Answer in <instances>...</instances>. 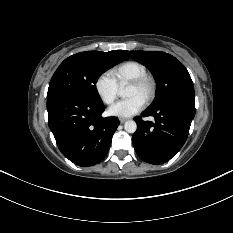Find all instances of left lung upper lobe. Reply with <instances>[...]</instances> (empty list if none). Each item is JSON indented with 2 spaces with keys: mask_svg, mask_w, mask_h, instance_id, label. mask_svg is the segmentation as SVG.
<instances>
[{
  "mask_svg": "<svg viewBox=\"0 0 233 233\" xmlns=\"http://www.w3.org/2000/svg\"><path fill=\"white\" fill-rule=\"evenodd\" d=\"M126 53L147 66L157 81V95L150 108L176 102L195 106L191 77L175 57L160 51H126Z\"/></svg>",
  "mask_w": 233,
  "mask_h": 233,
  "instance_id": "1",
  "label": "left lung upper lobe"
}]
</instances>
